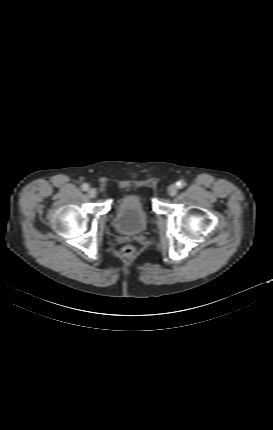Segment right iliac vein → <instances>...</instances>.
I'll list each match as a JSON object with an SVG mask.
<instances>
[{
	"label": "right iliac vein",
	"mask_w": 273,
	"mask_h": 430,
	"mask_svg": "<svg viewBox=\"0 0 273 430\" xmlns=\"http://www.w3.org/2000/svg\"><path fill=\"white\" fill-rule=\"evenodd\" d=\"M87 194L90 198H94L97 194V191L94 188H90V189H88Z\"/></svg>",
	"instance_id": "1"
}]
</instances>
